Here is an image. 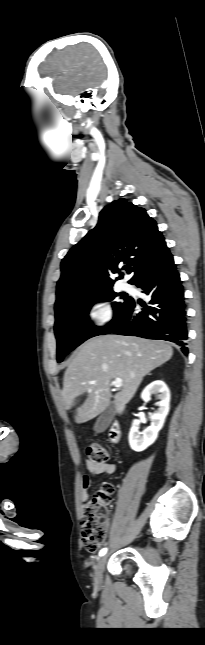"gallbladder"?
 <instances>
[{"mask_svg":"<svg viewBox=\"0 0 205 645\" xmlns=\"http://www.w3.org/2000/svg\"><path fill=\"white\" fill-rule=\"evenodd\" d=\"M114 413H115L114 402H110L107 408L101 413V415L97 419L94 425V431L96 433L104 432L109 427L113 419Z\"/></svg>","mask_w":205,"mask_h":645,"instance_id":"bac80fb5","label":"gallbladder"}]
</instances>
